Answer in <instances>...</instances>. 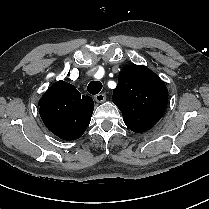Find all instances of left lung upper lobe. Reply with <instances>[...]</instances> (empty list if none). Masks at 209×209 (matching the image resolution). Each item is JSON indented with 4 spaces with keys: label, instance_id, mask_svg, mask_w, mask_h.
Segmentation results:
<instances>
[{
    "label": "left lung upper lobe",
    "instance_id": "1",
    "mask_svg": "<svg viewBox=\"0 0 209 209\" xmlns=\"http://www.w3.org/2000/svg\"><path fill=\"white\" fill-rule=\"evenodd\" d=\"M112 101L120 109L126 126L142 133L151 129L163 116L168 90L149 68L130 65L120 71Z\"/></svg>",
    "mask_w": 209,
    "mask_h": 209
}]
</instances>
